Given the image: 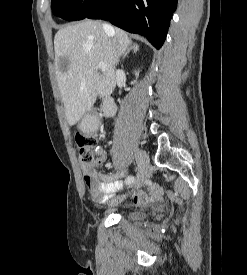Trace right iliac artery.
Listing matches in <instances>:
<instances>
[{
	"label": "right iliac artery",
	"mask_w": 247,
	"mask_h": 275,
	"mask_svg": "<svg viewBox=\"0 0 247 275\" xmlns=\"http://www.w3.org/2000/svg\"><path fill=\"white\" fill-rule=\"evenodd\" d=\"M135 181V177L134 176H128L125 180V183L130 185Z\"/></svg>",
	"instance_id": "obj_1"
}]
</instances>
